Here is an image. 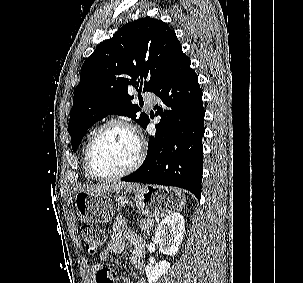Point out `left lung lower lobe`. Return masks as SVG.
<instances>
[{"label": "left lung lower lobe", "mask_w": 303, "mask_h": 283, "mask_svg": "<svg viewBox=\"0 0 303 283\" xmlns=\"http://www.w3.org/2000/svg\"><path fill=\"white\" fill-rule=\"evenodd\" d=\"M190 64L182 52L153 89L161 100L157 107L161 120L149 138L145 161L121 180L176 186L200 199L205 111L198 76ZM148 123L149 118L143 127Z\"/></svg>", "instance_id": "obj_1"}]
</instances>
